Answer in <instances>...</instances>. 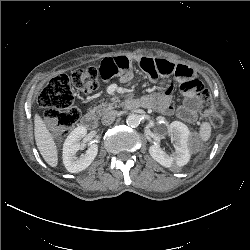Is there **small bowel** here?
I'll return each instance as SVG.
<instances>
[{"label": "small bowel", "instance_id": "small-bowel-1", "mask_svg": "<svg viewBox=\"0 0 250 250\" xmlns=\"http://www.w3.org/2000/svg\"><path fill=\"white\" fill-rule=\"evenodd\" d=\"M138 63L152 79L156 80L159 77L173 76L180 82V89L185 98L183 104L177 109V115L185 122H195L199 106V94L203 89L197 72L188 66L165 59L142 57L138 60ZM99 70L104 81L118 76L122 82H128L133 75L131 61L126 56L105 58L101 62ZM172 93L173 86L164 83L159 93L141 97L136 101L139 103V106L152 107L163 113L171 114L174 112Z\"/></svg>", "mask_w": 250, "mask_h": 250}]
</instances>
